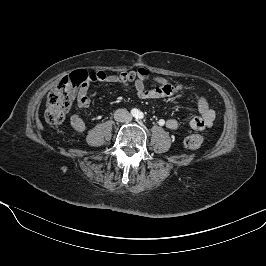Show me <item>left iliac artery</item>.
Returning <instances> with one entry per match:
<instances>
[{"label": "left iliac artery", "mask_w": 266, "mask_h": 266, "mask_svg": "<svg viewBox=\"0 0 266 266\" xmlns=\"http://www.w3.org/2000/svg\"><path fill=\"white\" fill-rule=\"evenodd\" d=\"M144 115L142 112H139L138 116H137V119L141 120L143 119Z\"/></svg>", "instance_id": "left-iliac-artery-1"}]
</instances>
